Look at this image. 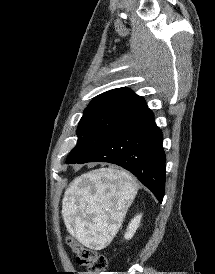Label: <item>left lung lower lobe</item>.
Returning a JSON list of instances; mask_svg holds the SVG:
<instances>
[{
    "instance_id": "1",
    "label": "left lung lower lobe",
    "mask_w": 215,
    "mask_h": 274,
    "mask_svg": "<svg viewBox=\"0 0 215 274\" xmlns=\"http://www.w3.org/2000/svg\"><path fill=\"white\" fill-rule=\"evenodd\" d=\"M162 140L153 113L147 107L114 129L84 158L71 163L109 162L119 165L133 173L161 203L166 159Z\"/></svg>"
}]
</instances>
